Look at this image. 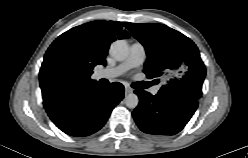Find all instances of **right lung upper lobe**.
Instances as JSON below:
<instances>
[{
	"mask_svg": "<svg viewBox=\"0 0 248 158\" xmlns=\"http://www.w3.org/2000/svg\"><path fill=\"white\" fill-rule=\"evenodd\" d=\"M129 37L117 21H92L61 34L48 48L39 81L43 101L96 84L90 78L96 65H106L110 44Z\"/></svg>",
	"mask_w": 248,
	"mask_h": 158,
	"instance_id": "right-lung-upper-lobe-1",
	"label": "right lung upper lobe"
}]
</instances>
